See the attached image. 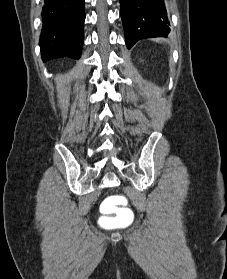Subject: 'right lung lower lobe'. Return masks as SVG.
Here are the masks:
<instances>
[{
  "instance_id": "98d812e1",
  "label": "right lung lower lobe",
  "mask_w": 227,
  "mask_h": 279,
  "mask_svg": "<svg viewBox=\"0 0 227 279\" xmlns=\"http://www.w3.org/2000/svg\"><path fill=\"white\" fill-rule=\"evenodd\" d=\"M40 50L44 62L79 59L83 46L84 0H44Z\"/></svg>"
}]
</instances>
